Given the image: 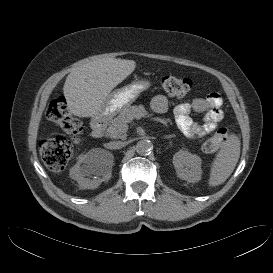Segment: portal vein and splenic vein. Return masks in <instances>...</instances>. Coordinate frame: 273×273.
<instances>
[{"label": "portal vein and splenic vein", "mask_w": 273, "mask_h": 273, "mask_svg": "<svg viewBox=\"0 0 273 273\" xmlns=\"http://www.w3.org/2000/svg\"><path fill=\"white\" fill-rule=\"evenodd\" d=\"M128 130V127H124V128H122V132H126Z\"/></svg>", "instance_id": "1"}]
</instances>
